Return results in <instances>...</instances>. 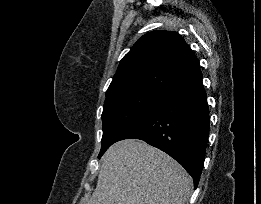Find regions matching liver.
Instances as JSON below:
<instances>
[{"instance_id": "liver-1", "label": "liver", "mask_w": 261, "mask_h": 204, "mask_svg": "<svg viewBox=\"0 0 261 204\" xmlns=\"http://www.w3.org/2000/svg\"><path fill=\"white\" fill-rule=\"evenodd\" d=\"M96 189L85 204H185L191 177L163 151L135 139L104 154Z\"/></svg>"}]
</instances>
